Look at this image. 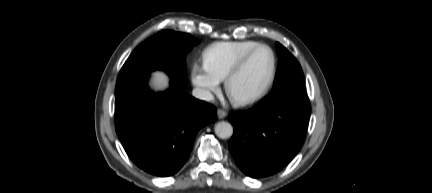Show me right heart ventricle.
<instances>
[{"instance_id": "e07e8e85", "label": "right heart ventricle", "mask_w": 432, "mask_h": 193, "mask_svg": "<svg viewBox=\"0 0 432 193\" xmlns=\"http://www.w3.org/2000/svg\"><path fill=\"white\" fill-rule=\"evenodd\" d=\"M258 44L253 40L214 43L204 52V65L219 82L223 81L233 65Z\"/></svg>"}]
</instances>
